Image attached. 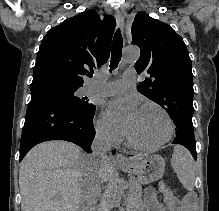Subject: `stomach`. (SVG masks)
Here are the masks:
<instances>
[{"instance_id":"1","label":"stomach","mask_w":219,"mask_h":211,"mask_svg":"<svg viewBox=\"0 0 219 211\" xmlns=\"http://www.w3.org/2000/svg\"><path fill=\"white\" fill-rule=\"evenodd\" d=\"M120 167L126 172L135 174L140 183L148 184L163 176L165 160L157 154L146 155L140 160L130 161L120 165Z\"/></svg>"}]
</instances>
